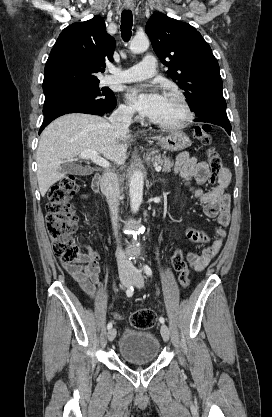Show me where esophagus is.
<instances>
[{"label": "esophagus", "instance_id": "1", "mask_svg": "<svg viewBox=\"0 0 272 417\" xmlns=\"http://www.w3.org/2000/svg\"><path fill=\"white\" fill-rule=\"evenodd\" d=\"M124 7H125L126 9H133V4H132V3H125V4H124Z\"/></svg>", "mask_w": 272, "mask_h": 417}]
</instances>
